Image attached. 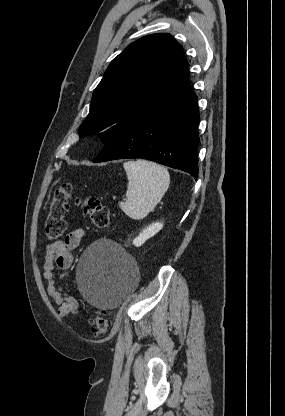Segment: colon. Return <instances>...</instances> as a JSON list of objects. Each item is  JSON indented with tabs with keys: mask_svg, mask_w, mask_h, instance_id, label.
I'll return each instance as SVG.
<instances>
[{
	"mask_svg": "<svg viewBox=\"0 0 285 416\" xmlns=\"http://www.w3.org/2000/svg\"><path fill=\"white\" fill-rule=\"evenodd\" d=\"M72 187L64 184L58 187L49 202V211L45 221V235L48 240L59 239L66 231L65 217L71 198ZM81 205L93 226L105 229L110 224L109 209L94 196L86 197ZM112 318L110 313L99 311L91 321L92 334L96 337L104 335L110 328Z\"/></svg>",
	"mask_w": 285,
	"mask_h": 416,
	"instance_id": "5ec220e1",
	"label": "colon"
}]
</instances>
